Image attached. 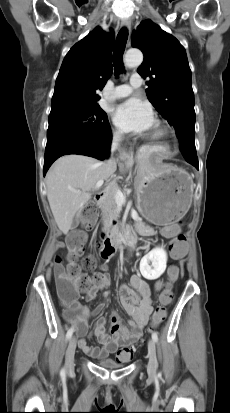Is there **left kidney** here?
<instances>
[{
  "instance_id": "1",
  "label": "left kidney",
  "mask_w": 230,
  "mask_h": 413,
  "mask_svg": "<svg viewBox=\"0 0 230 413\" xmlns=\"http://www.w3.org/2000/svg\"><path fill=\"white\" fill-rule=\"evenodd\" d=\"M151 263V266L149 265ZM167 253L163 248L157 247L146 254L140 261V272L147 280L158 279L165 271Z\"/></svg>"
}]
</instances>
